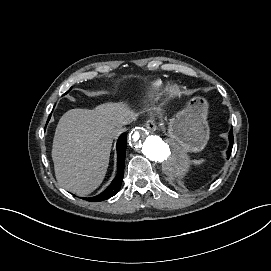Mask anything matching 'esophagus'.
I'll use <instances>...</instances> for the list:
<instances>
[{"instance_id":"34e87169","label":"esophagus","mask_w":271,"mask_h":271,"mask_svg":"<svg viewBox=\"0 0 271 271\" xmlns=\"http://www.w3.org/2000/svg\"><path fill=\"white\" fill-rule=\"evenodd\" d=\"M145 127L150 130V131H156L157 130V125L153 119H149L145 123Z\"/></svg>"}]
</instances>
